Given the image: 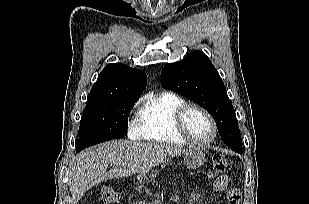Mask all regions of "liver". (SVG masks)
I'll return each instance as SVG.
<instances>
[{
	"mask_svg": "<svg viewBox=\"0 0 309 204\" xmlns=\"http://www.w3.org/2000/svg\"><path fill=\"white\" fill-rule=\"evenodd\" d=\"M187 149L128 140L109 141L83 150L69 165V190L74 202L93 186L147 171ZM112 169L107 171L108 165Z\"/></svg>",
	"mask_w": 309,
	"mask_h": 204,
	"instance_id": "1",
	"label": "liver"
}]
</instances>
